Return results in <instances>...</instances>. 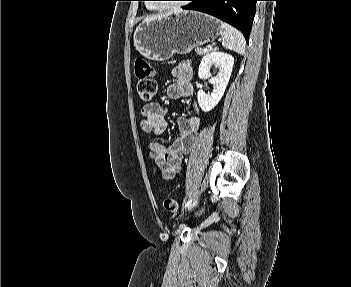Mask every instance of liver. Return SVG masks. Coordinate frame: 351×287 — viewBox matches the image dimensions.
Returning <instances> with one entry per match:
<instances>
[{
  "instance_id": "1",
  "label": "liver",
  "mask_w": 351,
  "mask_h": 287,
  "mask_svg": "<svg viewBox=\"0 0 351 287\" xmlns=\"http://www.w3.org/2000/svg\"><path fill=\"white\" fill-rule=\"evenodd\" d=\"M176 12H182L181 10H178V11H176ZM165 15H167V14H165ZM165 15H157V16H152V17H148V18H146L145 19V21H148V20H153V19H156V18H160V17H163V16H165Z\"/></svg>"
}]
</instances>
